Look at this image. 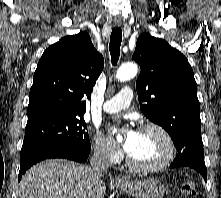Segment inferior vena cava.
Instances as JSON below:
<instances>
[{
  "label": "inferior vena cava",
  "mask_w": 221,
  "mask_h": 198,
  "mask_svg": "<svg viewBox=\"0 0 221 198\" xmlns=\"http://www.w3.org/2000/svg\"><path fill=\"white\" fill-rule=\"evenodd\" d=\"M90 171L96 179H100L109 169V151L105 147H96L90 160Z\"/></svg>",
  "instance_id": "602c4592"
}]
</instances>
